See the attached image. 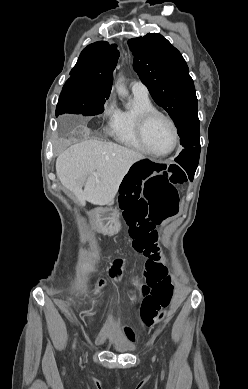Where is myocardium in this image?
<instances>
[{"label": "myocardium", "mask_w": 248, "mask_h": 389, "mask_svg": "<svg viewBox=\"0 0 248 389\" xmlns=\"http://www.w3.org/2000/svg\"><path fill=\"white\" fill-rule=\"evenodd\" d=\"M157 116L163 118L165 121L168 122V124L171 127L172 134H173L172 147L168 151H165V152H155L152 149H150V147L147 144L146 137H145L146 128H147L149 122L154 117H157ZM136 132H137V137H138L141 145L143 146L145 152H147L148 154H150L152 156H156V157H165V156L170 155L172 152H174V150L176 149L178 142H179V135H178V130H177V126H176L175 122L167 114H165L162 111L157 110L155 108L143 111L142 113L139 114V116L137 118Z\"/></svg>", "instance_id": "obj_1"}]
</instances>
